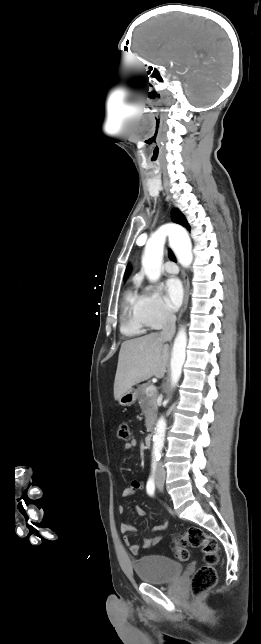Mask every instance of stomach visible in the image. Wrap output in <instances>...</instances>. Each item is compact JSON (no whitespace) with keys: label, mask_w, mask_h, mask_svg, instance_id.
Masks as SVG:
<instances>
[{"label":"stomach","mask_w":261,"mask_h":644,"mask_svg":"<svg viewBox=\"0 0 261 644\" xmlns=\"http://www.w3.org/2000/svg\"><path fill=\"white\" fill-rule=\"evenodd\" d=\"M137 399V390L130 389L127 392H125L120 398H119V403L122 406H131L132 404L135 403Z\"/></svg>","instance_id":"0dacf381"}]
</instances>
